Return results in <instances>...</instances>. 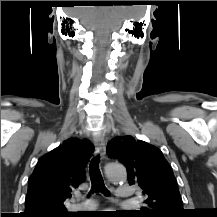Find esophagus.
<instances>
[{
    "instance_id": "34e87169",
    "label": "esophagus",
    "mask_w": 217,
    "mask_h": 217,
    "mask_svg": "<svg viewBox=\"0 0 217 217\" xmlns=\"http://www.w3.org/2000/svg\"><path fill=\"white\" fill-rule=\"evenodd\" d=\"M94 145H95V150L102 158L105 157V140H104V135L102 133H98L94 136Z\"/></svg>"
}]
</instances>
